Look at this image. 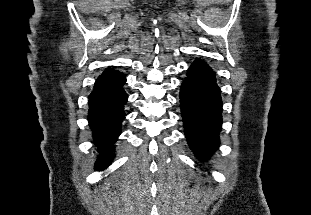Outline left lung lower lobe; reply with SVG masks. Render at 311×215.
<instances>
[{"instance_id": "1", "label": "left lung lower lobe", "mask_w": 311, "mask_h": 215, "mask_svg": "<svg viewBox=\"0 0 311 215\" xmlns=\"http://www.w3.org/2000/svg\"><path fill=\"white\" fill-rule=\"evenodd\" d=\"M220 94L214 71L202 60L194 61L181 85L180 107L188 144L199 159L210 157L219 146Z\"/></svg>"}]
</instances>
